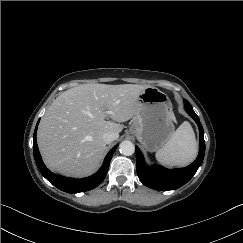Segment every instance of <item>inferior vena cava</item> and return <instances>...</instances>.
Wrapping results in <instances>:
<instances>
[{
    "mask_svg": "<svg viewBox=\"0 0 243 243\" xmlns=\"http://www.w3.org/2000/svg\"><path fill=\"white\" fill-rule=\"evenodd\" d=\"M116 140V134L113 132H106L103 134V141L106 144H110L111 142Z\"/></svg>",
    "mask_w": 243,
    "mask_h": 243,
    "instance_id": "1",
    "label": "inferior vena cava"
}]
</instances>
